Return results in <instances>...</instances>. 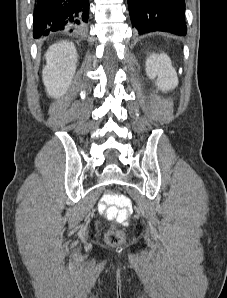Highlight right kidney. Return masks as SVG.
Listing matches in <instances>:
<instances>
[{
	"label": "right kidney",
	"mask_w": 227,
	"mask_h": 298,
	"mask_svg": "<svg viewBox=\"0 0 227 298\" xmlns=\"http://www.w3.org/2000/svg\"><path fill=\"white\" fill-rule=\"evenodd\" d=\"M45 58L42 79L47 94L61 97L71 85L76 71L78 54L75 45L69 41H59L48 48Z\"/></svg>",
	"instance_id": "right-kidney-1"
}]
</instances>
